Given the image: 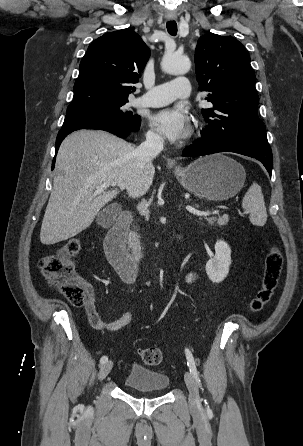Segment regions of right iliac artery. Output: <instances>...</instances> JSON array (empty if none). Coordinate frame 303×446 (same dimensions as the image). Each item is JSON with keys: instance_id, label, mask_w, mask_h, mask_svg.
Segmentation results:
<instances>
[{"instance_id": "1", "label": "right iliac artery", "mask_w": 303, "mask_h": 446, "mask_svg": "<svg viewBox=\"0 0 303 446\" xmlns=\"http://www.w3.org/2000/svg\"><path fill=\"white\" fill-rule=\"evenodd\" d=\"M108 361V357L107 356H102L100 359V364H104Z\"/></svg>"}]
</instances>
